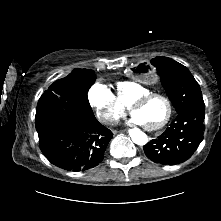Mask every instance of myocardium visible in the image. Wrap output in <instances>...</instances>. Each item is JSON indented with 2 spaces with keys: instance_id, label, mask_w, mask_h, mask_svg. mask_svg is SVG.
I'll return each instance as SVG.
<instances>
[{
  "instance_id": "1",
  "label": "myocardium",
  "mask_w": 221,
  "mask_h": 221,
  "mask_svg": "<svg viewBox=\"0 0 221 221\" xmlns=\"http://www.w3.org/2000/svg\"><path fill=\"white\" fill-rule=\"evenodd\" d=\"M156 97L161 98L166 102V104H167V114L160 123H158L154 126L145 125V128L149 131L160 130V129L164 128L168 124V122L170 121V119L173 115V111H174L173 104H172V101L170 100V98L168 96L162 94V93L150 92V93L143 94V95L139 96L138 98L133 100L131 102V104L129 105V111L131 113H134V110L137 107L145 105L150 99L156 98Z\"/></svg>"
}]
</instances>
